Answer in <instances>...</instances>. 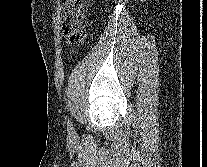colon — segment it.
I'll use <instances>...</instances> for the list:
<instances>
[{"label":"colon","mask_w":207,"mask_h":167,"mask_svg":"<svg viewBox=\"0 0 207 167\" xmlns=\"http://www.w3.org/2000/svg\"><path fill=\"white\" fill-rule=\"evenodd\" d=\"M89 0H64L62 29L69 43H77L85 38L84 21Z\"/></svg>","instance_id":"1"}]
</instances>
